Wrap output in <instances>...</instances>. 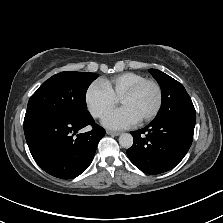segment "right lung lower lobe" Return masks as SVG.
Masks as SVG:
<instances>
[{
	"label": "right lung lower lobe",
	"mask_w": 223,
	"mask_h": 223,
	"mask_svg": "<svg viewBox=\"0 0 223 223\" xmlns=\"http://www.w3.org/2000/svg\"><path fill=\"white\" fill-rule=\"evenodd\" d=\"M87 125L93 129L74 137ZM24 133L34 160L45 172L71 179L90 165L105 130L92 117L85 120L45 118L24 123Z\"/></svg>",
	"instance_id": "obj_1"
}]
</instances>
